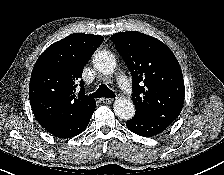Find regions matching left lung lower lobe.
Segmentation results:
<instances>
[{
    "label": "left lung lower lobe",
    "instance_id": "obj_1",
    "mask_svg": "<svg viewBox=\"0 0 224 175\" xmlns=\"http://www.w3.org/2000/svg\"><path fill=\"white\" fill-rule=\"evenodd\" d=\"M174 120L164 116H145L135 114L126 122L127 128L143 137H151L163 132Z\"/></svg>",
    "mask_w": 224,
    "mask_h": 175
}]
</instances>
